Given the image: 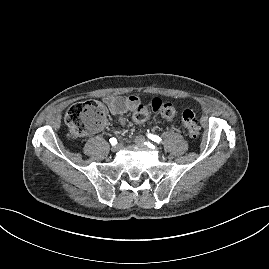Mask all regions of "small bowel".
Instances as JSON below:
<instances>
[{
    "instance_id": "obj_1",
    "label": "small bowel",
    "mask_w": 269,
    "mask_h": 269,
    "mask_svg": "<svg viewBox=\"0 0 269 269\" xmlns=\"http://www.w3.org/2000/svg\"><path fill=\"white\" fill-rule=\"evenodd\" d=\"M104 103L109 111L117 117V122L120 125H124V114L127 112L135 111L140 99L135 95L128 96H110L104 99ZM106 125L104 121L100 128Z\"/></svg>"
}]
</instances>
